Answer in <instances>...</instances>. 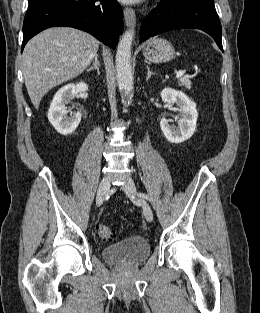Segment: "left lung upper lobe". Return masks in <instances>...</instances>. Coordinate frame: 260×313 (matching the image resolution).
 <instances>
[{
  "label": "left lung upper lobe",
  "instance_id": "left-lung-upper-lobe-1",
  "mask_svg": "<svg viewBox=\"0 0 260 313\" xmlns=\"http://www.w3.org/2000/svg\"><path fill=\"white\" fill-rule=\"evenodd\" d=\"M203 1L214 3V0H203Z\"/></svg>",
  "mask_w": 260,
  "mask_h": 313
}]
</instances>
